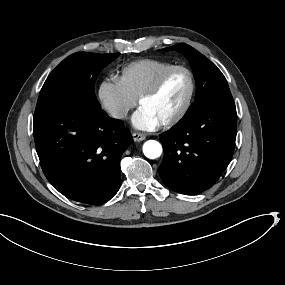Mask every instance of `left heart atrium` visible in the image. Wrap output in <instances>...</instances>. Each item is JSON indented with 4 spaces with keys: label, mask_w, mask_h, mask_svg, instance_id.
<instances>
[{
    "label": "left heart atrium",
    "mask_w": 285,
    "mask_h": 285,
    "mask_svg": "<svg viewBox=\"0 0 285 285\" xmlns=\"http://www.w3.org/2000/svg\"><path fill=\"white\" fill-rule=\"evenodd\" d=\"M131 123L136 128L148 130L156 128L160 123V119L144 105H140L133 114Z\"/></svg>",
    "instance_id": "39dd6f15"
}]
</instances>
